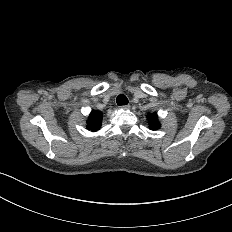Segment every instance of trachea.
Instances as JSON below:
<instances>
[{
	"label": "trachea",
	"instance_id": "1",
	"mask_svg": "<svg viewBox=\"0 0 232 232\" xmlns=\"http://www.w3.org/2000/svg\"><path fill=\"white\" fill-rule=\"evenodd\" d=\"M116 102L119 106L122 105H127L128 104V98L124 95V94H120L117 99Z\"/></svg>",
	"mask_w": 232,
	"mask_h": 232
}]
</instances>
